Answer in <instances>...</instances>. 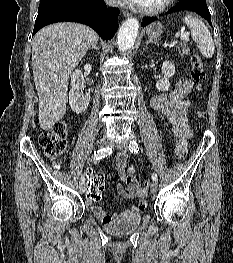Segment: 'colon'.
<instances>
[{
    "label": "colon",
    "instance_id": "colon-1",
    "mask_svg": "<svg viewBox=\"0 0 233 263\" xmlns=\"http://www.w3.org/2000/svg\"><path fill=\"white\" fill-rule=\"evenodd\" d=\"M191 77L196 84V89L201 90L205 81V70L202 59L194 54L191 57ZM68 123L66 121L56 122L51 129L43 132L39 136V144L45 155L54 161H57L64 153L67 146ZM187 151H181L177 156L184 159ZM87 175L88 190H84L83 194L87 195L89 202H100V195L104 189V178L102 175ZM149 182L145 181L143 189L148 190Z\"/></svg>",
    "mask_w": 233,
    "mask_h": 263
}]
</instances>
